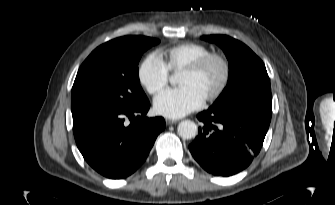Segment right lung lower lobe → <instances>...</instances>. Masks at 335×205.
Returning <instances> with one entry per match:
<instances>
[{"mask_svg":"<svg viewBox=\"0 0 335 205\" xmlns=\"http://www.w3.org/2000/svg\"><path fill=\"white\" fill-rule=\"evenodd\" d=\"M149 108L146 99L135 107L72 114L75 141L87 163L111 179L134 173L165 128L164 118L146 117Z\"/></svg>","mask_w":335,"mask_h":205,"instance_id":"98d812e1","label":"right lung lower lobe"}]
</instances>
